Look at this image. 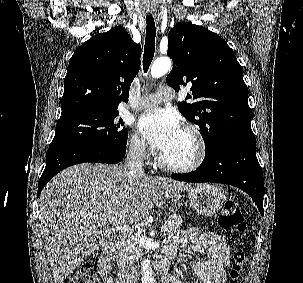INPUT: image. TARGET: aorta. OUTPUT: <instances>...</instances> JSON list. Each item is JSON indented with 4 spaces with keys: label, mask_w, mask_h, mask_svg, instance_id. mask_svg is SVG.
<instances>
[{
    "label": "aorta",
    "mask_w": 303,
    "mask_h": 283,
    "mask_svg": "<svg viewBox=\"0 0 303 283\" xmlns=\"http://www.w3.org/2000/svg\"><path fill=\"white\" fill-rule=\"evenodd\" d=\"M171 69V60L167 57L158 58L151 67V75L153 78H160ZM141 283H157L153 274L150 261L144 260L141 265Z\"/></svg>",
    "instance_id": "obj_1"
}]
</instances>
